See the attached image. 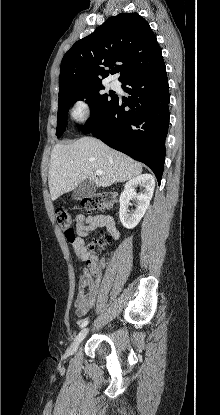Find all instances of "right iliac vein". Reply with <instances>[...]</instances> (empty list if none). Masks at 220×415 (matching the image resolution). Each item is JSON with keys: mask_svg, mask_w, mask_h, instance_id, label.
I'll return each instance as SVG.
<instances>
[{"mask_svg": "<svg viewBox=\"0 0 220 415\" xmlns=\"http://www.w3.org/2000/svg\"><path fill=\"white\" fill-rule=\"evenodd\" d=\"M89 332V328L82 329L77 336L74 338V341L72 342L70 348L68 349V354L72 355L76 352L81 342L86 337L87 333Z\"/></svg>", "mask_w": 220, "mask_h": 415, "instance_id": "1", "label": "right iliac vein"}]
</instances>
